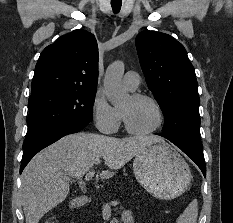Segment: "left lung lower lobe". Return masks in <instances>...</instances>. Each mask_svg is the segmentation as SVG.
I'll return each mask as SVG.
<instances>
[{
    "label": "left lung lower lobe",
    "mask_w": 233,
    "mask_h": 223,
    "mask_svg": "<svg viewBox=\"0 0 233 223\" xmlns=\"http://www.w3.org/2000/svg\"><path fill=\"white\" fill-rule=\"evenodd\" d=\"M159 135L163 136L162 134ZM165 138L170 140L177 147H179L185 154H187L201 169L204 177H206V165L204 161L203 147L201 142L171 139L168 137Z\"/></svg>",
    "instance_id": "1"
}]
</instances>
